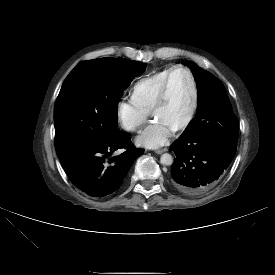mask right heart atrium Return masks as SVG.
I'll list each match as a JSON object with an SVG mask.
<instances>
[{
    "label": "right heart atrium",
    "instance_id": "d8ad5b80",
    "mask_svg": "<svg viewBox=\"0 0 275 275\" xmlns=\"http://www.w3.org/2000/svg\"><path fill=\"white\" fill-rule=\"evenodd\" d=\"M115 115L124 130L134 132L145 123L149 111L138 106L132 99L122 98L116 104Z\"/></svg>",
    "mask_w": 275,
    "mask_h": 275
}]
</instances>
